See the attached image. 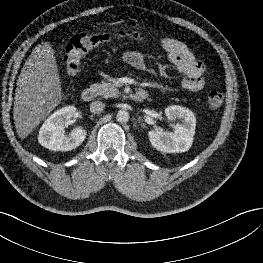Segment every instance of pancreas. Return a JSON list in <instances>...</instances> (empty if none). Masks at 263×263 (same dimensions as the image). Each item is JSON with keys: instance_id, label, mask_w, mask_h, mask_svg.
Segmentation results:
<instances>
[{"instance_id": "obj_1", "label": "pancreas", "mask_w": 263, "mask_h": 263, "mask_svg": "<svg viewBox=\"0 0 263 263\" xmlns=\"http://www.w3.org/2000/svg\"><path fill=\"white\" fill-rule=\"evenodd\" d=\"M91 88L94 90L96 95L102 96L103 98L118 97L120 95V92L112 83H95L91 86Z\"/></svg>"}]
</instances>
